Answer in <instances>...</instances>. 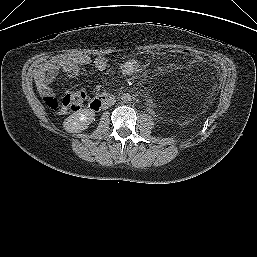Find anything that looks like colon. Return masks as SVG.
<instances>
[{"label":"colon","mask_w":257,"mask_h":257,"mask_svg":"<svg viewBox=\"0 0 257 257\" xmlns=\"http://www.w3.org/2000/svg\"><path fill=\"white\" fill-rule=\"evenodd\" d=\"M174 52L180 53L184 56H194L195 52L189 49H179V50H174ZM85 101V94L80 91L76 92H70L66 94L62 100H58L55 97H47L45 99L46 104L48 107L53 110L54 112H59L62 108H69L72 110H79Z\"/></svg>","instance_id":"5ec220e1"}]
</instances>
